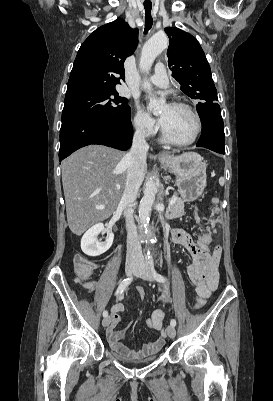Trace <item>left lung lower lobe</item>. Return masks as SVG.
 Wrapping results in <instances>:
<instances>
[{"instance_id":"obj_1","label":"left lung lower lobe","mask_w":273,"mask_h":401,"mask_svg":"<svg viewBox=\"0 0 273 401\" xmlns=\"http://www.w3.org/2000/svg\"><path fill=\"white\" fill-rule=\"evenodd\" d=\"M196 108L203 125V130L196 146L225 154L224 126L220 106L214 102H205L198 103Z\"/></svg>"}]
</instances>
